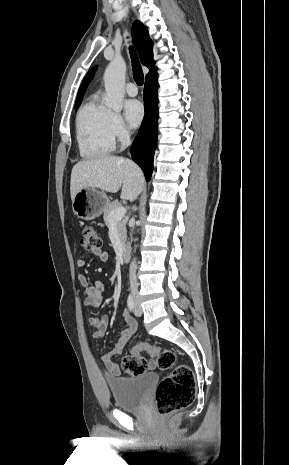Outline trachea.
Instances as JSON below:
<instances>
[{
    "label": "trachea",
    "instance_id": "1",
    "mask_svg": "<svg viewBox=\"0 0 289 465\" xmlns=\"http://www.w3.org/2000/svg\"><path fill=\"white\" fill-rule=\"evenodd\" d=\"M130 56L132 60L133 78L137 85L141 86L144 82V74L136 52L130 47Z\"/></svg>",
    "mask_w": 289,
    "mask_h": 465
}]
</instances>
